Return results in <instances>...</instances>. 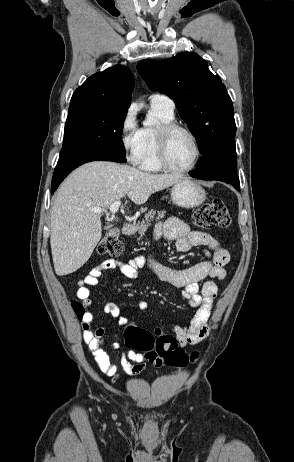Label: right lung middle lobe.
<instances>
[{
    "mask_svg": "<svg viewBox=\"0 0 294 462\" xmlns=\"http://www.w3.org/2000/svg\"><path fill=\"white\" fill-rule=\"evenodd\" d=\"M127 109L106 106L69 108L58 164L106 154L125 155L122 130Z\"/></svg>",
    "mask_w": 294,
    "mask_h": 462,
    "instance_id": "1",
    "label": "right lung middle lobe"
}]
</instances>
